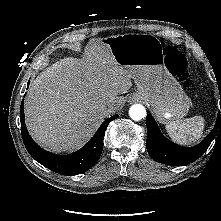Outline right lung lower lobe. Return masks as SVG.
<instances>
[{
  "label": "right lung lower lobe",
  "instance_id": "obj_1",
  "mask_svg": "<svg viewBox=\"0 0 221 221\" xmlns=\"http://www.w3.org/2000/svg\"><path fill=\"white\" fill-rule=\"evenodd\" d=\"M116 118H118L117 114L106 119L91 140L80 150L61 156L45 151L34 142L25 125L23 100L20 107L21 134L27 151L37 162L46 168L66 176L84 173L96 164L103 150L105 131L109 123Z\"/></svg>",
  "mask_w": 221,
  "mask_h": 221
}]
</instances>
